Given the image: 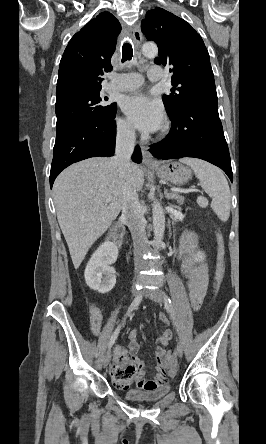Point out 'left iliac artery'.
Listing matches in <instances>:
<instances>
[{"label": "left iliac artery", "mask_w": 266, "mask_h": 444, "mask_svg": "<svg viewBox=\"0 0 266 444\" xmlns=\"http://www.w3.org/2000/svg\"><path fill=\"white\" fill-rule=\"evenodd\" d=\"M165 302L169 305V307L171 309V317L173 319V323H174V326H175L176 322H175V315H174L173 304H172L171 299L166 294H165Z\"/></svg>", "instance_id": "44dca946"}]
</instances>
